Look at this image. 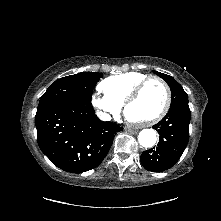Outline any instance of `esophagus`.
I'll use <instances>...</instances> for the list:
<instances>
[{"mask_svg": "<svg viewBox=\"0 0 221 221\" xmlns=\"http://www.w3.org/2000/svg\"><path fill=\"white\" fill-rule=\"evenodd\" d=\"M125 131L131 134H136L137 131L135 129L125 128Z\"/></svg>", "mask_w": 221, "mask_h": 221, "instance_id": "obj_1", "label": "esophagus"}]
</instances>
